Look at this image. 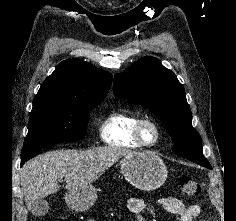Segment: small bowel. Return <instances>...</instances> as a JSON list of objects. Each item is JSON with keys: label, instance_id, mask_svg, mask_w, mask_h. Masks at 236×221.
<instances>
[{"label": "small bowel", "instance_id": "c3829d8e", "mask_svg": "<svg viewBox=\"0 0 236 221\" xmlns=\"http://www.w3.org/2000/svg\"><path fill=\"white\" fill-rule=\"evenodd\" d=\"M157 204L166 212L177 216L179 221H194L201 213V207L197 203L186 205L177 197L168 196L157 200ZM128 210L137 221H145L142 212L146 208V202L139 197H131L127 201Z\"/></svg>", "mask_w": 236, "mask_h": 221}]
</instances>
